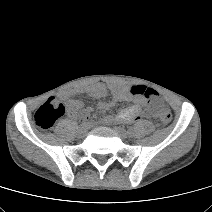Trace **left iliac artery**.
I'll use <instances>...</instances> for the list:
<instances>
[{
	"label": "left iliac artery",
	"instance_id": "obj_1",
	"mask_svg": "<svg viewBox=\"0 0 212 212\" xmlns=\"http://www.w3.org/2000/svg\"><path fill=\"white\" fill-rule=\"evenodd\" d=\"M133 131V129H129V132H132Z\"/></svg>",
	"mask_w": 212,
	"mask_h": 212
}]
</instances>
